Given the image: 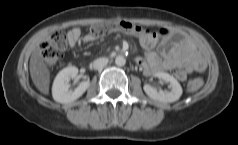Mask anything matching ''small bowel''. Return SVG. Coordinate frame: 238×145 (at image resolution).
Instances as JSON below:
<instances>
[{
    "label": "small bowel",
    "mask_w": 238,
    "mask_h": 145,
    "mask_svg": "<svg viewBox=\"0 0 238 145\" xmlns=\"http://www.w3.org/2000/svg\"><path fill=\"white\" fill-rule=\"evenodd\" d=\"M167 33V30H160V34L142 32L137 35L141 46L146 50L144 56L138 57L136 62L143 68L146 75L156 74L168 70H173L180 80H185L186 75L193 72H204L206 62L203 57L192 47L172 44L166 39L160 42L162 53L179 52L177 57L168 59L162 58L159 53L153 50L160 35ZM68 38L71 44H75L79 38V31L73 29L69 32ZM181 70L178 71L177 69Z\"/></svg>",
    "instance_id": "1"
}]
</instances>
